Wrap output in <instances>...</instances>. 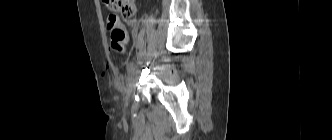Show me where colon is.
<instances>
[{"label": "colon", "instance_id": "colon-1", "mask_svg": "<svg viewBox=\"0 0 332 140\" xmlns=\"http://www.w3.org/2000/svg\"><path fill=\"white\" fill-rule=\"evenodd\" d=\"M112 12L106 19V27L111 32V45L115 50H124L127 44V32L117 14L131 18L136 12L135 0H102Z\"/></svg>", "mask_w": 332, "mask_h": 140}]
</instances>
